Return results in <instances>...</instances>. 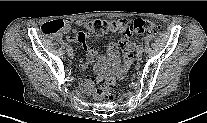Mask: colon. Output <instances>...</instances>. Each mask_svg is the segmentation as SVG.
<instances>
[{
	"label": "colon",
	"mask_w": 207,
	"mask_h": 123,
	"mask_svg": "<svg viewBox=\"0 0 207 123\" xmlns=\"http://www.w3.org/2000/svg\"><path fill=\"white\" fill-rule=\"evenodd\" d=\"M120 25L124 28L127 26L128 22L126 20H120ZM112 22L104 19H94L86 22L85 28L88 34L100 35L110 30ZM63 28L62 20H54L50 22H45L40 26L41 33L45 35H54L59 33ZM161 31V26L147 20L137 19L133 22L132 26L126 27L119 39L121 48L124 47L129 38L137 34L146 33H159ZM116 87V82L114 78H107L102 82H97L93 85V96L97 100H103L108 98Z\"/></svg>",
	"instance_id": "obj_1"
}]
</instances>
